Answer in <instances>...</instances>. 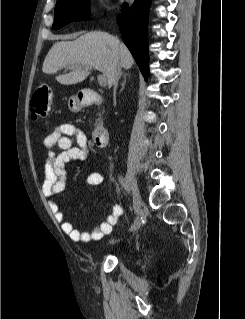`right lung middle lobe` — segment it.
<instances>
[{
  "instance_id": "1",
  "label": "right lung middle lobe",
  "mask_w": 245,
  "mask_h": 319,
  "mask_svg": "<svg viewBox=\"0 0 245 319\" xmlns=\"http://www.w3.org/2000/svg\"><path fill=\"white\" fill-rule=\"evenodd\" d=\"M88 4L89 0H57L53 29H59L73 21L86 19Z\"/></svg>"
}]
</instances>
